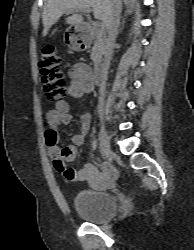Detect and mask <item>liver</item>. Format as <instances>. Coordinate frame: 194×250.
I'll return each mask as SVG.
<instances>
[{
	"label": "liver",
	"instance_id": "6515ba94",
	"mask_svg": "<svg viewBox=\"0 0 194 250\" xmlns=\"http://www.w3.org/2000/svg\"><path fill=\"white\" fill-rule=\"evenodd\" d=\"M116 0H48L45 4L42 21L44 25L43 35L48 34L49 29L54 25L63 13L69 10H83L92 7L94 17L101 19L107 27ZM121 2V0H118ZM69 25L83 23L81 15H73L66 20Z\"/></svg>",
	"mask_w": 194,
	"mask_h": 250
}]
</instances>
